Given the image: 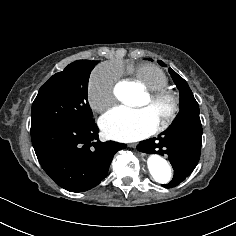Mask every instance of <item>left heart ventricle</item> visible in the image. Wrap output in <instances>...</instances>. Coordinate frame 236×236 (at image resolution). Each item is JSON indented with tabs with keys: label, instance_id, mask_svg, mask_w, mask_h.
<instances>
[{
	"label": "left heart ventricle",
	"instance_id": "left-heart-ventricle-1",
	"mask_svg": "<svg viewBox=\"0 0 236 236\" xmlns=\"http://www.w3.org/2000/svg\"><path fill=\"white\" fill-rule=\"evenodd\" d=\"M136 107H139L140 109H149L152 113L154 123H161L164 120L165 114L167 112V105H161V106H151L149 104V99L146 97L144 100L140 102V104Z\"/></svg>",
	"mask_w": 236,
	"mask_h": 236
}]
</instances>
